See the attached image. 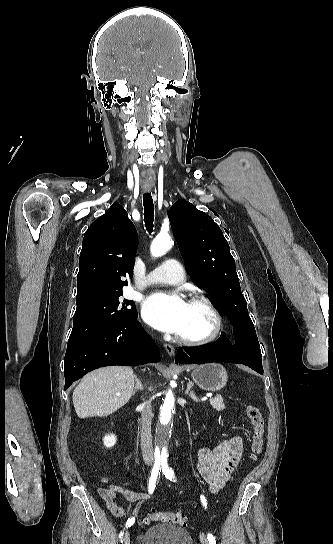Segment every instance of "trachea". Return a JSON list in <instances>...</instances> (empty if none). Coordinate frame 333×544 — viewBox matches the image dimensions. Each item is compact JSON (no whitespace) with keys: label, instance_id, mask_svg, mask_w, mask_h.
<instances>
[{"label":"trachea","instance_id":"obj_1","mask_svg":"<svg viewBox=\"0 0 333 544\" xmlns=\"http://www.w3.org/2000/svg\"><path fill=\"white\" fill-rule=\"evenodd\" d=\"M143 205H144V222L145 227L149 233L153 230V221H154V204L153 199L150 193H145L143 195Z\"/></svg>","mask_w":333,"mask_h":544}]
</instances>
